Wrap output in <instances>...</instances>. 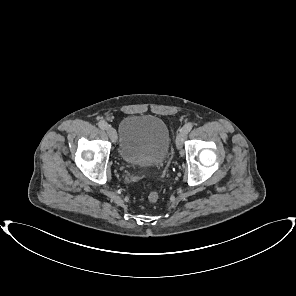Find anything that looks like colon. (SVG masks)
Instances as JSON below:
<instances>
[{"instance_id": "colon-1", "label": "colon", "mask_w": 296, "mask_h": 296, "mask_svg": "<svg viewBox=\"0 0 296 296\" xmlns=\"http://www.w3.org/2000/svg\"><path fill=\"white\" fill-rule=\"evenodd\" d=\"M146 185L149 187V191H148V199L151 202H155L158 200V193L151 188L150 183H146Z\"/></svg>"}]
</instances>
